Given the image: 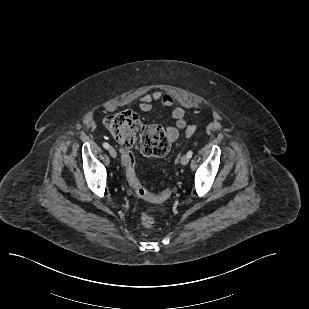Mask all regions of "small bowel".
Masks as SVG:
<instances>
[{"mask_svg":"<svg viewBox=\"0 0 309 309\" xmlns=\"http://www.w3.org/2000/svg\"><path fill=\"white\" fill-rule=\"evenodd\" d=\"M139 100V109L142 112L151 111L154 102H158L163 108H171L175 104L172 95L160 90L146 93L142 95ZM171 118L174 120L175 126H167L166 134L169 141L174 142L178 139L180 132L186 127L185 110L178 106L174 107L171 111Z\"/></svg>","mask_w":309,"mask_h":309,"instance_id":"1","label":"small bowel"}]
</instances>
